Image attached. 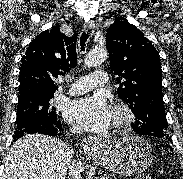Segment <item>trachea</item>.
I'll return each mask as SVG.
<instances>
[{"instance_id": "3493384b", "label": "trachea", "mask_w": 183, "mask_h": 179, "mask_svg": "<svg viewBox=\"0 0 183 179\" xmlns=\"http://www.w3.org/2000/svg\"><path fill=\"white\" fill-rule=\"evenodd\" d=\"M88 37H89V34H88V33H82V36H81V38H80L81 50H84V48H85V43H86Z\"/></svg>"}]
</instances>
